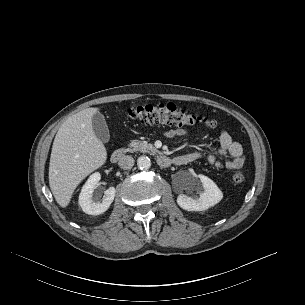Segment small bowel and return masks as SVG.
Instances as JSON below:
<instances>
[{
	"label": "small bowel",
	"instance_id": "small-bowel-1",
	"mask_svg": "<svg viewBox=\"0 0 305 305\" xmlns=\"http://www.w3.org/2000/svg\"><path fill=\"white\" fill-rule=\"evenodd\" d=\"M188 129L184 127L168 128L163 132L166 138H175L185 136ZM220 156H228L224 161L219 159ZM206 158L208 162L218 169L236 170L243 166L245 156L242 145L233 140L230 134L222 130L219 136V147L217 154L206 153L204 151H194L174 157L175 165H185L195 162L199 159Z\"/></svg>",
	"mask_w": 305,
	"mask_h": 305
}]
</instances>
